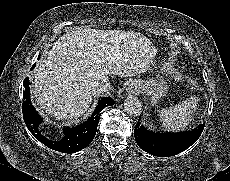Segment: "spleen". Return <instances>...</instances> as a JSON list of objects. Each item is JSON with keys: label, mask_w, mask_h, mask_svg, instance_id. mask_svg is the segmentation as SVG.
<instances>
[{"label": "spleen", "mask_w": 230, "mask_h": 181, "mask_svg": "<svg viewBox=\"0 0 230 181\" xmlns=\"http://www.w3.org/2000/svg\"><path fill=\"white\" fill-rule=\"evenodd\" d=\"M197 104L198 99L190 97L176 106L163 108L159 115L162 127L168 131L185 128Z\"/></svg>", "instance_id": "3e777b00"}]
</instances>
